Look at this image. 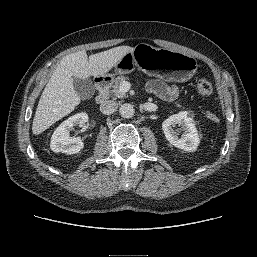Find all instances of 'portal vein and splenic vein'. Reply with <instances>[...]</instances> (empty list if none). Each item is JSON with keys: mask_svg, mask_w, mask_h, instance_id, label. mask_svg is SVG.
Returning a JSON list of instances; mask_svg holds the SVG:
<instances>
[{"mask_svg": "<svg viewBox=\"0 0 257 257\" xmlns=\"http://www.w3.org/2000/svg\"><path fill=\"white\" fill-rule=\"evenodd\" d=\"M131 84L128 81H124L120 85V91L126 93L130 90Z\"/></svg>", "mask_w": 257, "mask_h": 257, "instance_id": "1", "label": "portal vein and splenic vein"}]
</instances>
